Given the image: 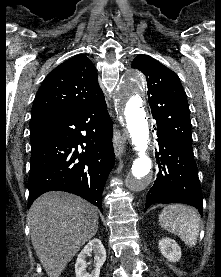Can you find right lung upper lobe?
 <instances>
[{
	"mask_svg": "<svg viewBox=\"0 0 221 277\" xmlns=\"http://www.w3.org/2000/svg\"><path fill=\"white\" fill-rule=\"evenodd\" d=\"M104 101L96 68L84 55L74 56L52 70L41 84L32 117L81 110Z\"/></svg>",
	"mask_w": 221,
	"mask_h": 277,
	"instance_id": "cb5924a9",
	"label": "right lung upper lobe"
}]
</instances>
